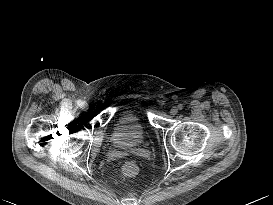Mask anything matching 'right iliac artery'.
<instances>
[{"label": "right iliac artery", "mask_w": 273, "mask_h": 205, "mask_svg": "<svg viewBox=\"0 0 273 205\" xmlns=\"http://www.w3.org/2000/svg\"><path fill=\"white\" fill-rule=\"evenodd\" d=\"M76 103L78 106H81L83 104L82 101H80V100H78Z\"/></svg>", "instance_id": "82829eb1"}]
</instances>
